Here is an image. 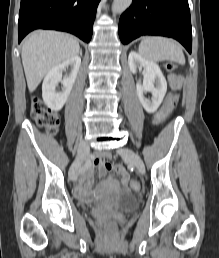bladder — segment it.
<instances>
[{"label": "bladder", "instance_id": "31cf9c89", "mask_svg": "<svg viewBox=\"0 0 219 258\" xmlns=\"http://www.w3.org/2000/svg\"><path fill=\"white\" fill-rule=\"evenodd\" d=\"M110 204L121 212H130L138 208L139 199L127 192L111 197Z\"/></svg>", "mask_w": 219, "mask_h": 258}]
</instances>
